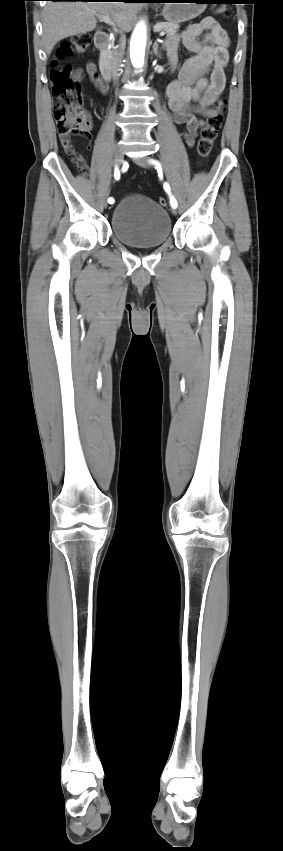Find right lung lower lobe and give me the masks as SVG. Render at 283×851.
Masks as SVG:
<instances>
[{
  "mask_svg": "<svg viewBox=\"0 0 283 851\" xmlns=\"http://www.w3.org/2000/svg\"><path fill=\"white\" fill-rule=\"evenodd\" d=\"M52 1H95V0H52ZM120 2H149L150 0H118Z\"/></svg>",
  "mask_w": 283,
  "mask_h": 851,
  "instance_id": "right-lung-lower-lobe-1",
  "label": "right lung lower lobe"
}]
</instances>
